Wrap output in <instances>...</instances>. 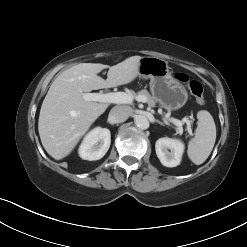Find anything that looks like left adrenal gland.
<instances>
[{
    "instance_id": "obj_1",
    "label": "left adrenal gland",
    "mask_w": 247,
    "mask_h": 247,
    "mask_svg": "<svg viewBox=\"0 0 247 247\" xmlns=\"http://www.w3.org/2000/svg\"><path fill=\"white\" fill-rule=\"evenodd\" d=\"M156 122L159 123L160 125H163L164 126V123H162L161 121L156 120Z\"/></svg>"
}]
</instances>
